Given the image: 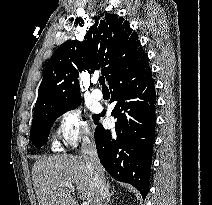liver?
I'll use <instances>...</instances> for the list:
<instances>
[{
  "label": "liver",
  "instance_id": "liver-1",
  "mask_svg": "<svg viewBox=\"0 0 212 205\" xmlns=\"http://www.w3.org/2000/svg\"><path fill=\"white\" fill-rule=\"evenodd\" d=\"M32 178L39 205H77L71 191L61 183L75 184L79 197L93 203L90 173L82 156L56 155L38 159Z\"/></svg>",
  "mask_w": 212,
  "mask_h": 205
}]
</instances>
